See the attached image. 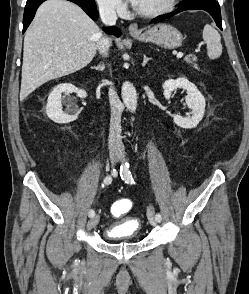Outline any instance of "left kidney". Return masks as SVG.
I'll use <instances>...</instances> for the list:
<instances>
[{"label":"left kidney","instance_id":"obj_1","mask_svg":"<svg viewBox=\"0 0 249 294\" xmlns=\"http://www.w3.org/2000/svg\"><path fill=\"white\" fill-rule=\"evenodd\" d=\"M177 88L186 90L187 96L185 100L188 107L192 109V116L182 117L180 115H174V122L181 128H195L204 116L206 105L205 98L197 87L185 77L166 80L163 84L164 97L170 99L172 92Z\"/></svg>","mask_w":249,"mask_h":294}]
</instances>
